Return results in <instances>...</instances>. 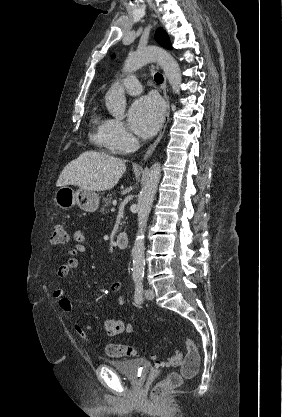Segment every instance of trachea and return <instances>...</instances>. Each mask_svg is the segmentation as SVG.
Returning <instances> with one entry per match:
<instances>
[{"mask_svg": "<svg viewBox=\"0 0 282 417\" xmlns=\"http://www.w3.org/2000/svg\"><path fill=\"white\" fill-rule=\"evenodd\" d=\"M154 80L156 83H162L163 82V76L161 75V73H156L154 75Z\"/></svg>", "mask_w": 282, "mask_h": 417, "instance_id": "trachea-1", "label": "trachea"}]
</instances>
